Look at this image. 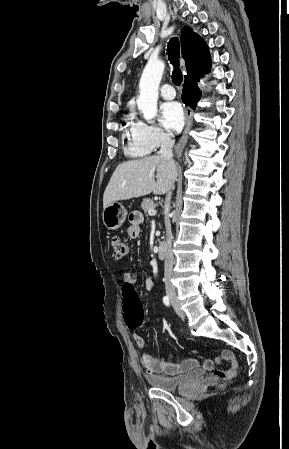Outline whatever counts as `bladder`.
<instances>
[{
	"label": "bladder",
	"mask_w": 289,
	"mask_h": 449,
	"mask_svg": "<svg viewBox=\"0 0 289 449\" xmlns=\"http://www.w3.org/2000/svg\"><path fill=\"white\" fill-rule=\"evenodd\" d=\"M205 377V371L201 369L193 370L178 376H149L148 382L158 389L173 392L180 388L197 382Z\"/></svg>",
	"instance_id": "bladder-1"
}]
</instances>
